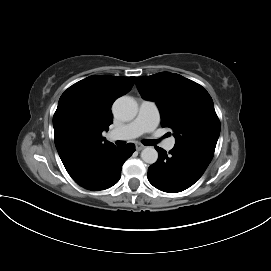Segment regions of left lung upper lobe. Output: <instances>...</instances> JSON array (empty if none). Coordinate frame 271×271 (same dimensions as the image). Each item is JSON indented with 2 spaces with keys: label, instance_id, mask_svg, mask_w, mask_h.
I'll return each instance as SVG.
<instances>
[{
  "label": "left lung upper lobe",
  "instance_id": "obj_1",
  "mask_svg": "<svg viewBox=\"0 0 271 271\" xmlns=\"http://www.w3.org/2000/svg\"><path fill=\"white\" fill-rule=\"evenodd\" d=\"M136 85L144 99L156 102L162 125L174 132L175 146L214 153L220 122L201 85L170 72L136 77Z\"/></svg>",
  "mask_w": 271,
  "mask_h": 271
}]
</instances>
